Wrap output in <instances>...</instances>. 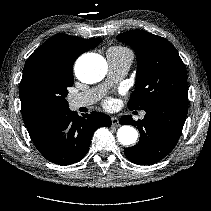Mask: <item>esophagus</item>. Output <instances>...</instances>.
Masks as SVG:
<instances>
[{"mask_svg": "<svg viewBox=\"0 0 211 211\" xmlns=\"http://www.w3.org/2000/svg\"><path fill=\"white\" fill-rule=\"evenodd\" d=\"M111 120H112L113 126H119L120 125L119 119L117 117H112Z\"/></svg>", "mask_w": 211, "mask_h": 211, "instance_id": "1", "label": "esophagus"}]
</instances>
